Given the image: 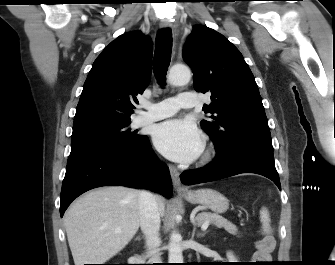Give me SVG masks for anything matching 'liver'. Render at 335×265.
<instances>
[{
  "mask_svg": "<svg viewBox=\"0 0 335 265\" xmlns=\"http://www.w3.org/2000/svg\"><path fill=\"white\" fill-rule=\"evenodd\" d=\"M139 194L108 186L86 193L68 208L64 226L75 265L104 264L131 241L140 225ZM155 199L163 215L164 200Z\"/></svg>",
  "mask_w": 335,
  "mask_h": 265,
  "instance_id": "1",
  "label": "liver"
}]
</instances>
